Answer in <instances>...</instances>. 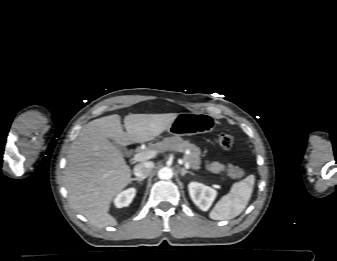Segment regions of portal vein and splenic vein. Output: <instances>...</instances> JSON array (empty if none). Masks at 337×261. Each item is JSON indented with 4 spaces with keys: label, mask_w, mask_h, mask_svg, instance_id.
I'll return each instance as SVG.
<instances>
[{
    "label": "portal vein and splenic vein",
    "mask_w": 337,
    "mask_h": 261,
    "mask_svg": "<svg viewBox=\"0 0 337 261\" xmlns=\"http://www.w3.org/2000/svg\"><path fill=\"white\" fill-rule=\"evenodd\" d=\"M156 154H157V151H155V150L139 152V153L134 155L133 160L135 162L146 161V160L154 157ZM184 166L187 169L190 168V165L187 162H184Z\"/></svg>",
    "instance_id": "18ae733b"
}]
</instances>
